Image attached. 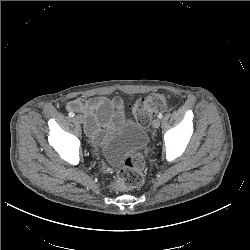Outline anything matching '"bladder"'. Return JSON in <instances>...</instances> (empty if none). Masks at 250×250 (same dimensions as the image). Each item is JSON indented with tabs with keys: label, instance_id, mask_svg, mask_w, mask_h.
I'll return each mask as SVG.
<instances>
[{
	"label": "bladder",
	"instance_id": "obj_1",
	"mask_svg": "<svg viewBox=\"0 0 250 250\" xmlns=\"http://www.w3.org/2000/svg\"><path fill=\"white\" fill-rule=\"evenodd\" d=\"M117 129L102 148V156L113 165L125 162L133 153L146 148L148 135L143 126L125 111L118 114Z\"/></svg>",
	"mask_w": 250,
	"mask_h": 250
}]
</instances>
